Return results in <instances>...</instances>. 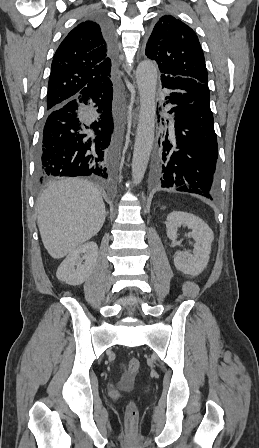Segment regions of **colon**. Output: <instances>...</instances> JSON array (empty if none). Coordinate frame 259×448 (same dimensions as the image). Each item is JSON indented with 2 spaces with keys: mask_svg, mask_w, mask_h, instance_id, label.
I'll return each mask as SVG.
<instances>
[{
  "mask_svg": "<svg viewBox=\"0 0 259 448\" xmlns=\"http://www.w3.org/2000/svg\"><path fill=\"white\" fill-rule=\"evenodd\" d=\"M140 368V361L138 358H131L128 362V372L135 373ZM138 418L137 407L134 403H130L126 409V423L130 430H134Z\"/></svg>",
  "mask_w": 259,
  "mask_h": 448,
  "instance_id": "5ec220e1",
  "label": "colon"
}]
</instances>
